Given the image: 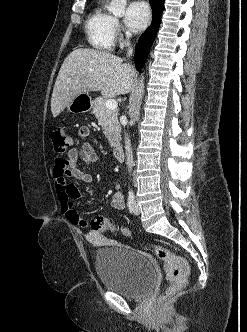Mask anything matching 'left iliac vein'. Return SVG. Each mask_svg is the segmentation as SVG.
I'll return each mask as SVG.
<instances>
[{"label":"left iliac vein","mask_w":247,"mask_h":332,"mask_svg":"<svg viewBox=\"0 0 247 332\" xmlns=\"http://www.w3.org/2000/svg\"><path fill=\"white\" fill-rule=\"evenodd\" d=\"M132 211H133V213L136 214V215H139V214H140V208H139V206H138V204H137L136 201H135V203H134V205H133Z\"/></svg>","instance_id":"obj_1"}]
</instances>
